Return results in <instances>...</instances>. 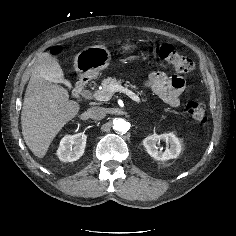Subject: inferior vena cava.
<instances>
[{
  "mask_svg": "<svg viewBox=\"0 0 236 236\" xmlns=\"http://www.w3.org/2000/svg\"><path fill=\"white\" fill-rule=\"evenodd\" d=\"M88 117L94 120H101L106 116V109L99 106H94L88 109Z\"/></svg>",
  "mask_w": 236,
  "mask_h": 236,
  "instance_id": "obj_1",
  "label": "inferior vena cava"
}]
</instances>
